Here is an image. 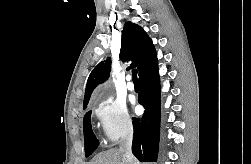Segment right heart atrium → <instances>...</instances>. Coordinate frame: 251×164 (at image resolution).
<instances>
[{
    "label": "right heart atrium",
    "mask_w": 251,
    "mask_h": 164,
    "mask_svg": "<svg viewBox=\"0 0 251 164\" xmlns=\"http://www.w3.org/2000/svg\"><path fill=\"white\" fill-rule=\"evenodd\" d=\"M95 115L103 136L109 142H117L132 132V119L126 105L113 96L100 101L95 108Z\"/></svg>",
    "instance_id": "d8ad5b80"
}]
</instances>
